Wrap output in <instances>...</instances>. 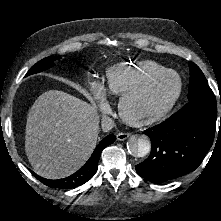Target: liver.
<instances>
[{"mask_svg":"<svg viewBox=\"0 0 221 221\" xmlns=\"http://www.w3.org/2000/svg\"><path fill=\"white\" fill-rule=\"evenodd\" d=\"M25 151L33 170L47 179L67 177L88 160L97 145L95 106L64 91L49 90L32 105Z\"/></svg>","mask_w":221,"mask_h":221,"instance_id":"obj_1","label":"liver"}]
</instances>
